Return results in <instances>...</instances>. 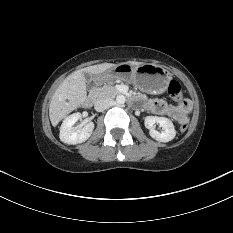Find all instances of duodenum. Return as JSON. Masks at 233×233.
I'll return each instance as SVG.
<instances>
[{
	"instance_id": "1",
	"label": "duodenum",
	"mask_w": 233,
	"mask_h": 233,
	"mask_svg": "<svg viewBox=\"0 0 233 233\" xmlns=\"http://www.w3.org/2000/svg\"><path fill=\"white\" fill-rule=\"evenodd\" d=\"M97 84H98L97 81H93V82H91L90 87L92 89H94L97 86ZM93 101H94V96L92 94H90V95L85 97V99L83 101V106L88 108L92 105Z\"/></svg>"
}]
</instances>
